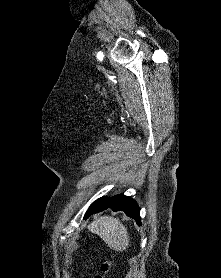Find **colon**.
I'll use <instances>...</instances> for the list:
<instances>
[{"instance_id": "5ec220e1", "label": "colon", "mask_w": 221, "mask_h": 278, "mask_svg": "<svg viewBox=\"0 0 221 278\" xmlns=\"http://www.w3.org/2000/svg\"><path fill=\"white\" fill-rule=\"evenodd\" d=\"M112 265L110 262L106 261L102 263L100 267V274L96 276V278H106L111 274Z\"/></svg>"}]
</instances>
